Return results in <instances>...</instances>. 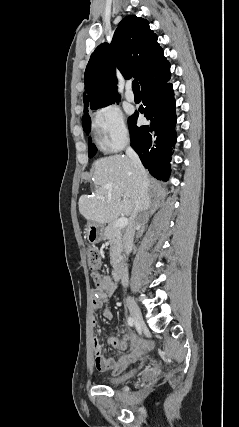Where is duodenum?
I'll list each match as a JSON object with an SVG mask.
<instances>
[{
    "label": "duodenum",
    "mask_w": 239,
    "mask_h": 427,
    "mask_svg": "<svg viewBox=\"0 0 239 427\" xmlns=\"http://www.w3.org/2000/svg\"><path fill=\"white\" fill-rule=\"evenodd\" d=\"M113 278L118 281L123 274V262L120 258L116 259L114 265H113Z\"/></svg>",
    "instance_id": "duodenum-1"
}]
</instances>
